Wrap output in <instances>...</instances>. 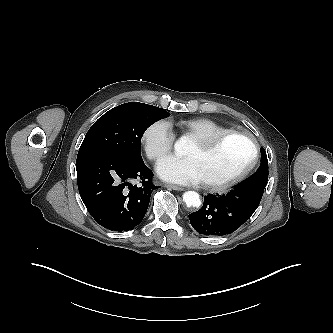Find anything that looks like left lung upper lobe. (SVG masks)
<instances>
[{"instance_id": "left-lung-upper-lobe-1", "label": "left lung upper lobe", "mask_w": 333, "mask_h": 333, "mask_svg": "<svg viewBox=\"0 0 333 333\" xmlns=\"http://www.w3.org/2000/svg\"><path fill=\"white\" fill-rule=\"evenodd\" d=\"M268 181V160L266 151L261 148V164L257 171L238 187L264 191Z\"/></svg>"}]
</instances>
